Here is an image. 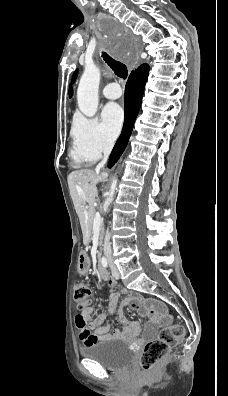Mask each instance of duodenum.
I'll list each match as a JSON object with an SVG mask.
<instances>
[{
	"instance_id": "1",
	"label": "duodenum",
	"mask_w": 228,
	"mask_h": 396,
	"mask_svg": "<svg viewBox=\"0 0 228 396\" xmlns=\"http://www.w3.org/2000/svg\"><path fill=\"white\" fill-rule=\"evenodd\" d=\"M101 251H98V257H100ZM98 272L101 278L106 279L108 277V273L101 266L98 268Z\"/></svg>"
}]
</instances>
